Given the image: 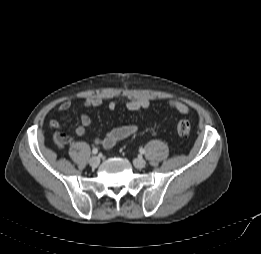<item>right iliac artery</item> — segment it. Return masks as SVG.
<instances>
[{
    "instance_id": "1",
    "label": "right iliac artery",
    "mask_w": 261,
    "mask_h": 254,
    "mask_svg": "<svg viewBox=\"0 0 261 254\" xmlns=\"http://www.w3.org/2000/svg\"><path fill=\"white\" fill-rule=\"evenodd\" d=\"M92 153L93 154H97L98 153V149L97 148H93Z\"/></svg>"
}]
</instances>
